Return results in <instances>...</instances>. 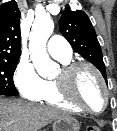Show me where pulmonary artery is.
I'll use <instances>...</instances> for the list:
<instances>
[{
    "label": "pulmonary artery",
    "instance_id": "e3ab8cb5",
    "mask_svg": "<svg viewBox=\"0 0 117 131\" xmlns=\"http://www.w3.org/2000/svg\"><path fill=\"white\" fill-rule=\"evenodd\" d=\"M48 53L57 60H68L72 57L69 43L59 35L50 38L47 44Z\"/></svg>",
    "mask_w": 117,
    "mask_h": 131
}]
</instances>
